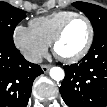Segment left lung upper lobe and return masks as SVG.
<instances>
[{
	"mask_svg": "<svg viewBox=\"0 0 107 107\" xmlns=\"http://www.w3.org/2000/svg\"><path fill=\"white\" fill-rule=\"evenodd\" d=\"M73 6L84 12L94 29V38L107 33V10L90 3L75 2Z\"/></svg>",
	"mask_w": 107,
	"mask_h": 107,
	"instance_id": "obj_1",
	"label": "left lung upper lobe"
}]
</instances>
